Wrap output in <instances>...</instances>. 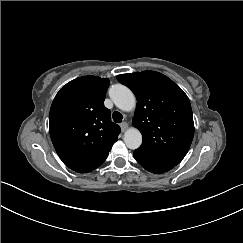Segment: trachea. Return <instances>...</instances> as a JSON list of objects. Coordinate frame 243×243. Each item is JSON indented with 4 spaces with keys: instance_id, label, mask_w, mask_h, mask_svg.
<instances>
[{
    "instance_id": "obj_1",
    "label": "trachea",
    "mask_w": 243,
    "mask_h": 243,
    "mask_svg": "<svg viewBox=\"0 0 243 243\" xmlns=\"http://www.w3.org/2000/svg\"><path fill=\"white\" fill-rule=\"evenodd\" d=\"M112 118H113L114 122H116V123H121L123 120L122 114L117 111L113 113Z\"/></svg>"
}]
</instances>
